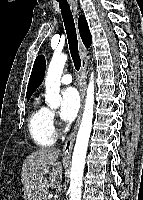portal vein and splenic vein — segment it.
Wrapping results in <instances>:
<instances>
[{"instance_id":"18ae733b","label":"portal vein and splenic vein","mask_w":143,"mask_h":200,"mask_svg":"<svg viewBox=\"0 0 143 200\" xmlns=\"http://www.w3.org/2000/svg\"><path fill=\"white\" fill-rule=\"evenodd\" d=\"M48 171H49V170L46 169V170H45V173H48Z\"/></svg>"}]
</instances>
